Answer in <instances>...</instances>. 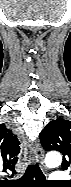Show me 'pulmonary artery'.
Segmentation results:
<instances>
[{"label": "pulmonary artery", "mask_w": 71, "mask_h": 187, "mask_svg": "<svg viewBox=\"0 0 71 187\" xmlns=\"http://www.w3.org/2000/svg\"><path fill=\"white\" fill-rule=\"evenodd\" d=\"M52 180H60V179H63L65 178L63 172H54L51 177H50Z\"/></svg>", "instance_id": "e3ab8cb5"}]
</instances>
